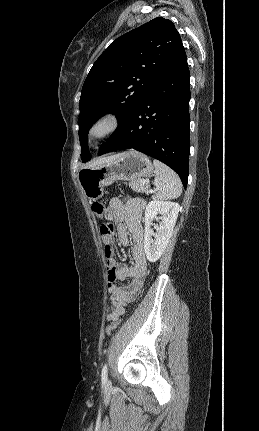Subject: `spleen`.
<instances>
[{
	"instance_id": "obj_1",
	"label": "spleen",
	"mask_w": 259,
	"mask_h": 431,
	"mask_svg": "<svg viewBox=\"0 0 259 431\" xmlns=\"http://www.w3.org/2000/svg\"><path fill=\"white\" fill-rule=\"evenodd\" d=\"M155 167L154 186L156 193L154 199L171 200L178 198L182 193V183L179 176L167 165L154 159Z\"/></svg>"
}]
</instances>
